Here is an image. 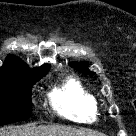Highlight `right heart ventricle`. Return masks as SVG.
I'll use <instances>...</instances> for the list:
<instances>
[{
  "label": "right heart ventricle",
  "instance_id": "e07e8e85",
  "mask_svg": "<svg viewBox=\"0 0 136 136\" xmlns=\"http://www.w3.org/2000/svg\"><path fill=\"white\" fill-rule=\"evenodd\" d=\"M51 104L61 116L75 122H93L98 115L96 97L76 77L68 76L50 93Z\"/></svg>",
  "mask_w": 136,
  "mask_h": 136
}]
</instances>
